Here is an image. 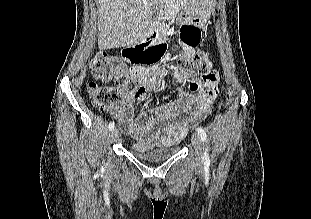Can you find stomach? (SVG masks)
I'll list each match as a JSON object with an SVG mask.
<instances>
[{
    "instance_id": "0dacf381",
    "label": "stomach",
    "mask_w": 311,
    "mask_h": 219,
    "mask_svg": "<svg viewBox=\"0 0 311 219\" xmlns=\"http://www.w3.org/2000/svg\"><path fill=\"white\" fill-rule=\"evenodd\" d=\"M180 3L182 5V9L183 11L180 12L178 14V17H177V22L179 24H183V23H187V22H190V23H193V24H196V25H204L206 20L200 16V15H196V14H191L188 12L187 10V7H185L184 5H188L189 2L188 1H182L180 0Z\"/></svg>"
}]
</instances>
